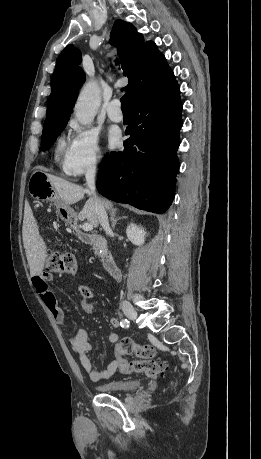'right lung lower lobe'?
Instances as JSON below:
<instances>
[{"instance_id":"98d812e1","label":"right lung lower lobe","mask_w":261,"mask_h":459,"mask_svg":"<svg viewBox=\"0 0 261 459\" xmlns=\"http://www.w3.org/2000/svg\"><path fill=\"white\" fill-rule=\"evenodd\" d=\"M130 138L123 152H111L98 171L97 189L103 196L138 209L164 213L175 195L179 168L177 149L182 126L177 81L131 105Z\"/></svg>"}]
</instances>
